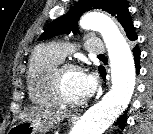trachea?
Segmentation results:
<instances>
[{"mask_svg": "<svg viewBox=\"0 0 153 134\" xmlns=\"http://www.w3.org/2000/svg\"><path fill=\"white\" fill-rule=\"evenodd\" d=\"M99 57H103L104 55L103 54H100V55H98Z\"/></svg>", "mask_w": 153, "mask_h": 134, "instance_id": "3493384b", "label": "trachea"}]
</instances>
